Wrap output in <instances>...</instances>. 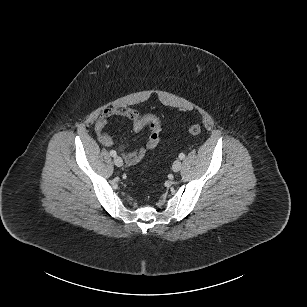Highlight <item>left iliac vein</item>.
<instances>
[{
	"label": "left iliac vein",
	"mask_w": 307,
	"mask_h": 307,
	"mask_svg": "<svg viewBox=\"0 0 307 307\" xmlns=\"http://www.w3.org/2000/svg\"><path fill=\"white\" fill-rule=\"evenodd\" d=\"M181 166H182L181 161L180 160H176V161H174V163L172 165V169H173L174 172H178V171H180Z\"/></svg>",
	"instance_id": "4c4485c4"
}]
</instances>
